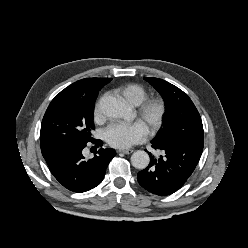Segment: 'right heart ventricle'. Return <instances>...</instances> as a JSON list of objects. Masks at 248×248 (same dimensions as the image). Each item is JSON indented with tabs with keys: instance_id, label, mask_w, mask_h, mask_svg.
Instances as JSON below:
<instances>
[{
	"instance_id": "obj_1",
	"label": "right heart ventricle",
	"mask_w": 248,
	"mask_h": 248,
	"mask_svg": "<svg viewBox=\"0 0 248 248\" xmlns=\"http://www.w3.org/2000/svg\"><path fill=\"white\" fill-rule=\"evenodd\" d=\"M119 93L131 104L140 105L147 97L146 89L135 83L127 84L118 89Z\"/></svg>"
}]
</instances>
